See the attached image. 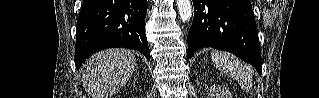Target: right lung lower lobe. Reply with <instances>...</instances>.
I'll list each match as a JSON object with an SVG mask.
<instances>
[{"mask_svg": "<svg viewBox=\"0 0 319 98\" xmlns=\"http://www.w3.org/2000/svg\"><path fill=\"white\" fill-rule=\"evenodd\" d=\"M147 0H83L77 21L75 65L104 48L126 47L150 60L144 23Z\"/></svg>", "mask_w": 319, "mask_h": 98, "instance_id": "obj_1", "label": "right lung lower lobe"}]
</instances>
